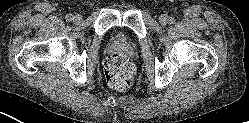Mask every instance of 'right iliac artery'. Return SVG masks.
<instances>
[{
    "mask_svg": "<svg viewBox=\"0 0 249 123\" xmlns=\"http://www.w3.org/2000/svg\"><path fill=\"white\" fill-rule=\"evenodd\" d=\"M66 21L71 22L73 20V15L71 13L67 14L65 17Z\"/></svg>",
    "mask_w": 249,
    "mask_h": 123,
    "instance_id": "right-iliac-artery-1",
    "label": "right iliac artery"
}]
</instances>
